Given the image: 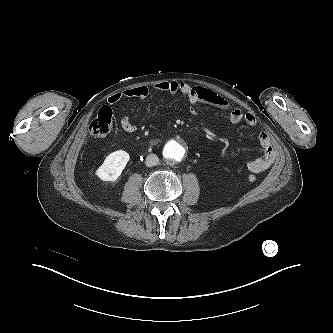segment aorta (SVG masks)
<instances>
[{
	"label": "aorta",
	"mask_w": 333,
	"mask_h": 333,
	"mask_svg": "<svg viewBox=\"0 0 333 333\" xmlns=\"http://www.w3.org/2000/svg\"><path fill=\"white\" fill-rule=\"evenodd\" d=\"M184 153V147L178 142L167 143L163 150L164 158L170 161H181Z\"/></svg>",
	"instance_id": "aorta-1"
}]
</instances>
